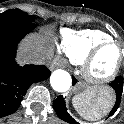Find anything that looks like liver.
I'll return each instance as SVG.
<instances>
[{
    "mask_svg": "<svg viewBox=\"0 0 124 124\" xmlns=\"http://www.w3.org/2000/svg\"><path fill=\"white\" fill-rule=\"evenodd\" d=\"M49 38L46 35H31L21 44L20 50L25 58L31 54H38L45 58Z\"/></svg>",
    "mask_w": 124,
    "mask_h": 124,
    "instance_id": "liver-1",
    "label": "liver"
}]
</instances>
